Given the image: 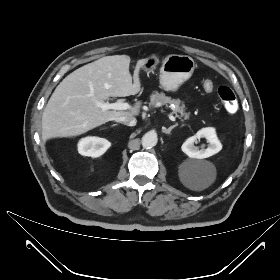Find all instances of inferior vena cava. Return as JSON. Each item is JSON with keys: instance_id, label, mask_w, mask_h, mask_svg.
I'll return each mask as SVG.
<instances>
[{"instance_id": "1", "label": "inferior vena cava", "mask_w": 280, "mask_h": 280, "mask_svg": "<svg viewBox=\"0 0 280 280\" xmlns=\"http://www.w3.org/2000/svg\"><path fill=\"white\" fill-rule=\"evenodd\" d=\"M115 121L127 126H135L137 122L135 117H128V116L117 117Z\"/></svg>"}]
</instances>
